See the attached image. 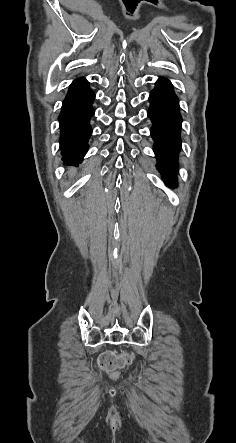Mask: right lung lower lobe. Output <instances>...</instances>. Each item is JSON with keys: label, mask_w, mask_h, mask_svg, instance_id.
<instances>
[{"label": "right lung lower lobe", "mask_w": 236, "mask_h": 443, "mask_svg": "<svg viewBox=\"0 0 236 443\" xmlns=\"http://www.w3.org/2000/svg\"><path fill=\"white\" fill-rule=\"evenodd\" d=\"M94 98L95 94L84 78L69 86L59 115L61 154L67 163L81 162L88 149Z\"/></svg>", "instance_id": "1"}]
</instances>
